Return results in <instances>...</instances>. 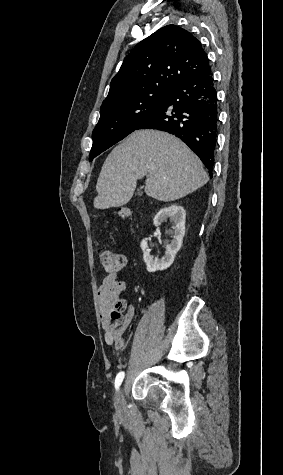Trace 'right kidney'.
Masks as SVG:
<instances>
[{"mask_svg":"<svg viewBox=\"0 0 283 475\" xmlns=\"http://www.w3.org/2000/svg\"><path fill=\"white\" fill-rule=\"evenodd\" d=\"M170 220V222H174L173 226V239H171V243L166 245L165 255L158 259L155 257L153 259V255H150L151 249L148 247V243L145 238L142 239L140 243V247L143 251V259L146 263L147 271H157V269H167L170 267L171 263H173L175 259V255L177 251H179L182 245V239L184 238L185 234V218L186 212L182 206H178V204H171L168 208H162L158 214H156L154 218V226H160L161 222H166V220Z\"/></svg>","mask_w":283,"mask_h":475,"instance_id":"1","label":"right kidney"}]
</instances>
